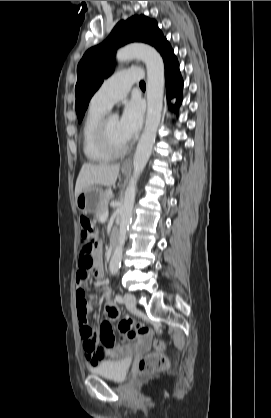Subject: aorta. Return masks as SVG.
Instances as JSON below:
<instances>
[{"instance_id":"aorta-1","label":"aorta","mask_w":271,"mask_h":418,"mask_svg":"<svg viewBox=\"0 0 271 418\" xmlns=\"http://www.w3.org/2000/svg\"><path fill=\"white\" fill-rule=\"evenodd\" d=\"M133 58L141 59L147 69V115L144 131L133 158V175L126 188L123 203L120 207L118 243L109 265V270L112 274L117 273L121 265L123 247L133 215L137 181L151 156L163 107L164 63L162 57L156 49L144 44L128 45L117 51L116 60L118 62H124ZM117 117L115 115V118Z\"/></svg>"}]
</instances>
